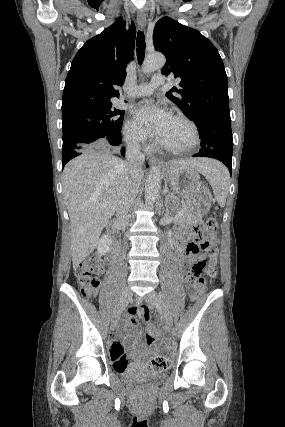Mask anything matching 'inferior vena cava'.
<instances>
[{
    "label": "inferior vena cava",
    "mask_w": 285,
    "mask_h": 427,
    "mask_svg": "<svg viewBox=\"0 0 285 427\" xmlns=\"http://www.w3.org/2000/svg\"><path fill=\"white\" fill-rule=\"evenodd\" d=\"M145 155L141 153L138 142H127L126 162L123 169V186L119 194L117 220L125 228L128 225V211L138 194L139 184L137 175L142 171Z\"/></svg>",
    "instance_id": "1"
}]
</instances>
